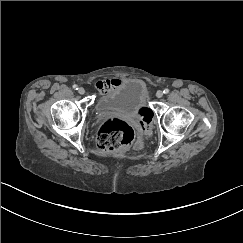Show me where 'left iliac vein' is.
Returning <instances> with one entry per match:
<instances>
[{"mask_svg":"<svg viewBox=\"0 0 243 243\" xmlns=\"http://www.w3.org/2000/svg\"><path fill=\"white\" fill-rule=\"evenodd\" d=\"M156 96H157L158 98H161V97L163 96V91H161V90L157 91V92H156Z\"/></svg>","mask_w":243,"mask_h":243,"instance_id":"left-iliac-vein-1","label":"left iliac vein"}]
</instances>
